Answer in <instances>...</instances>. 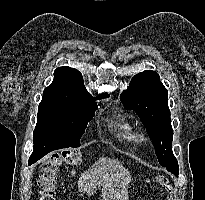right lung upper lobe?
<instances>
[{
	"label": "right lung upper lobe",
	"instance_id": "1",
	"mask_svg": "<svg viewBox=\"0 0 205 200\" xmlns=\"http://www.w3.org/2000/svg\"><path fill=\"white\" fill-rule=\"evenodd\" d=\"M52 84L75 89L94 100L109 96L107 93H105L98 95L97 97H92L84 87L82 74L78 70L68 66L59 67L54 71V80Z\"/></svg>",
	"mask_w": 205,
	"mask_h": 200
}]
</instances>
